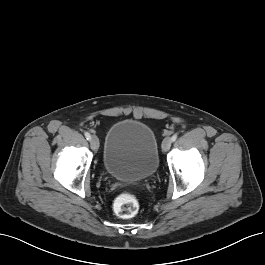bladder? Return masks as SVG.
I'll return each mask as SVG.
<instances>
[{
	"label": "bladder",
	"mask_w": 265,
	"mask_h": 265,
	"mask_svg": "<svg viewBox=\"0 0 265 265\" xmlns=\"http://www.w3.org/2000/svg\"><path fill=\"white\" fill-rule=\"evenodd\" d=\"M103 163L106 172L126 181L151 178L159 165L158 142L153 129L135 119H121L108 129Z\"/></svg>",
	"instance_id": "bladder-1"
}]
</instances>
